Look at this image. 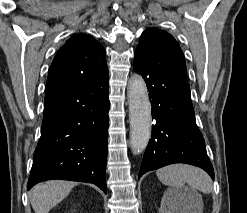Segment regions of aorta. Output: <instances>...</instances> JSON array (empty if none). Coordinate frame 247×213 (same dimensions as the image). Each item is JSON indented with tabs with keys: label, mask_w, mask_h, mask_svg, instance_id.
Masks as SVG:
<instances>
[{
	"label": "aorta",
	"mask_w": 247,
	"mask_h": 213,
	"mask_svg": "<svg viewBox=\"0 0 247 213\" xmlns=\"http://www.w3.org/2000/svg\"><path fill=\"white\" fill-rule=\"evenodd\" d=\"M130 119V143L134 154H140L151 137V104L144 79L133 75L127 87Z\"/></svg>",
	"instance_id": "762f6f07"
}]
</instances>
